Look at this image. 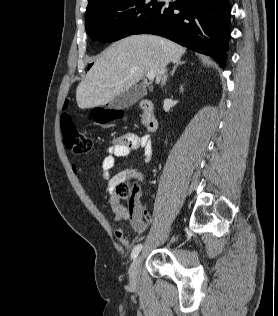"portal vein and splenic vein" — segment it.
<instances>
[{"mask_svg": "<svg viewBox=\"0 0 278 316\" xmlns=\"http://www.w3.org/2000/svg\"><path fill=\"white\" fill-rule=\"evenodd\" d=\"M147 78L152 81L155 78V71L154 70H150L147 72Z\"/></svg>", "mask_w": 278, "mask_h": 316, "instance_id": "1", "label": "portal vein and splenic vein"}]
</instances>
